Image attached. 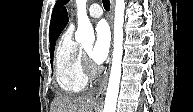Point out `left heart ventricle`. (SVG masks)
I'll return each mask as SVG.
<instances>
[{"label":"left heart ventricle","instance_id":"1","mask_svg":"<svg viewBox=\"0 0 193 112\" xmlns=\"http://www.w3.org/2000/svg\"><path fill=\"white\" fill-rule=\"evenodd\" d=\"M84 50L88 53V55H90L91 53V49H92V45H86L83 47Z\"/></svg>","mask_w":193,"mask_h":112}]
</instances>
